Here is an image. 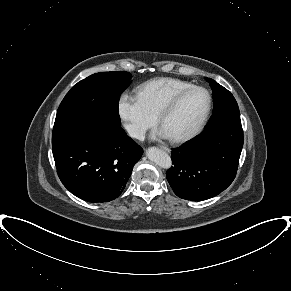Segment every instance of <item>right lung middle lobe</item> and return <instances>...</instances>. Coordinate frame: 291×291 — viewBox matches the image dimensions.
Listing matches in <instances>:
<instances>
[{
  "label": "right lung middle lobe",
  "mask_w": 291,
  "mask_h": 291,
  "mask_svg": "<svg viewBox=\"0 0 291 291\" xmlns=\"http://www.w3.org/2000/svg\"><path fill=\"white\" fill-rule=\"evenodd\" d=\"M131 77L126 71L101 72L74 85L58 108L52 145L82 128L121 126L119 99Z\"/></svg>",
  "instance_id": "right-lung-middle-lobe-1"
}]
</instances>
